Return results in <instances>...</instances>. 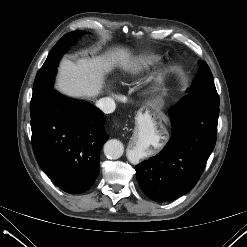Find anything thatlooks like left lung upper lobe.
I'll use <instances>...</instances> for the list:
<instances>
[{
	"instance_id": "1",
	"label": "left lung upper lobe",
	"mask_w": 247,
	"mask_h": 247,
	"mask_svg": "<svg viewBox=\"0 0 247 247\" xmlns=\"http://www.w3.org/2000/svg\"><path fill=\"white\" fill-rule=\"evenodd\" d=\"M187 91L189 93L203 94L207 98L219 102V96L215 88L214 79L206 62L201 63L198 73L194 78L191 87L188 88Z\"/></svg>"
}]
</instances>
